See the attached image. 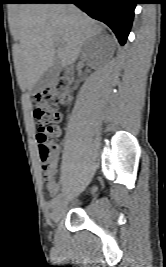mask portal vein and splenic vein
<instances>
[{"instance_id":"18ae733b","label":"portal vein and splenic vein","mask_w":166,"mask_h":267,"mask_svg":"<svg viewBox=\"0 0 166 267\" xmlns=\"http://www.w3.org/2000/svg\"><path fill=\"white\" fill-rule=\"evenodd\" d=\"M55 41H56V43H58L60 45L63 43V41L60 38H56Z\"/></svg>"}]
</instances>
